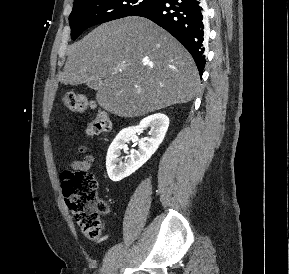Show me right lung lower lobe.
Listing matches in <instances>:
<instances>
[{
    "label": "right lung lower lobe",
    "mask_w": 289,
    "mask_h": 274,
    "mask_svg": "<svg viewBox=\"0 0 289 274\" xmlns=\"http://www.w3.org/2000/svg\"><path fill=\"white\" fill-rule=\"evenodd\" d=\"M135 16L148 18L171 33L192 55L202 75L205 65L203 0H155Z\"/></svg>",
    "instance_id": "98d812e1"
}]
</instances>
